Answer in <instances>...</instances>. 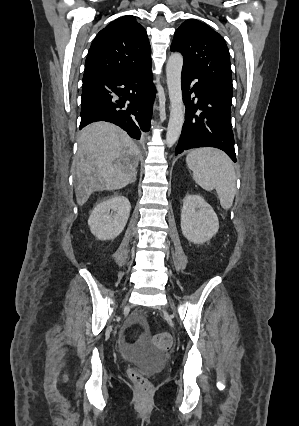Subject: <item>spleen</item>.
<instances>
[{
    "label": "spleen",
    "mask_w": 299,
    "mask_h": 426,
    "mask_svg": "<svg viewBox=\"0 0 299 426\" xmlns=\"http://www.w3.org/2000/svg\"><path fill=\"white\" fill-rule=\"evenodd\" d=\"M186 162L195 182L207 191L215 189L221 206L230 208L236 191V175L230 158L218 149L200 148L191 151Z\"/></svg>",
    "instance_id": "3e777b00"
}]
</instances>
